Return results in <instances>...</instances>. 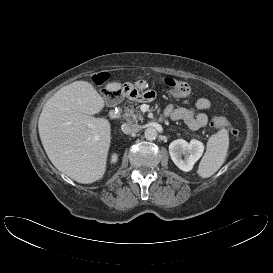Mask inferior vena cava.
Segmentation results:
<instances>
[{"instance_id": "obj_1", "label": "inferior vena cava", "mask_w": 273, "mask_h": 273, "mask_svg": "<svg viewBox=\"0 0 273 273\" xmlns=\"http://www.w3.org/2000/svg\"><path fill=\"white\" fill-rule=\"evenodd\" d=\"M121 130L124 134L132 135L139 131V126L137 124L124 123L121 126Z\"/></svg>"}]
</instances>
